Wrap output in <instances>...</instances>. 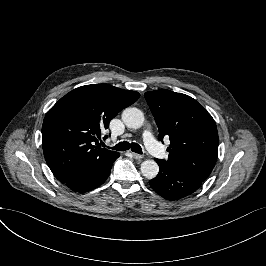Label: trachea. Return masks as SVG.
<instances>
[{"label": "trachea", "mask_w": 266, "mask_h": 266, "mask_svg": "<svg viewBox=\"0 0 266 266\" xmlns=\"http://www.w3.org/2000/svg\"><path fill=\"white\" fill-rule=\"evenodd\" d=\"M108 148L117 150V151H126V150L131 149L135 153L142 154V148L137 143L130 144L129 142L124 141V142L118 143L117 145L113 147H108Z\"/></svg>", "instance_id": "obj_1"}]
</instances>
